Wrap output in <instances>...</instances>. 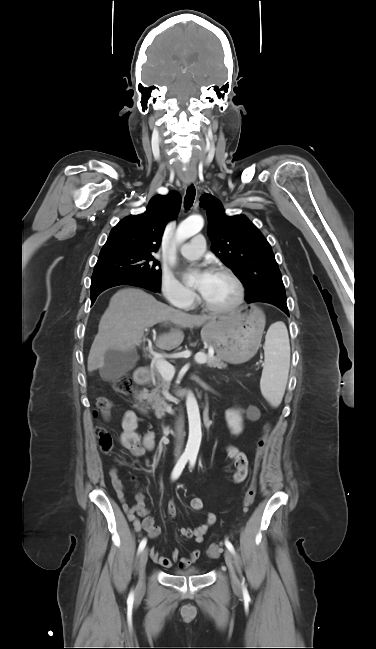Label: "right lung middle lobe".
<instances>
[{
    "mask_svg": "<svg viewBox=\"0 0 376 649\" xmlns=\"http://www.w3.org/2000/svg\"><path fill=\"white\" fill-rule=\"evenodd\" d=\"M152 252H111L100 254L91 282L105 278H135L148 281L161 288V269Z\"/></svg>",
    "mask_w": 376,
    "mask_h": 649,
    "instance_id": "1",
    "label": "right lung middle lobe"
}]
</instances>
